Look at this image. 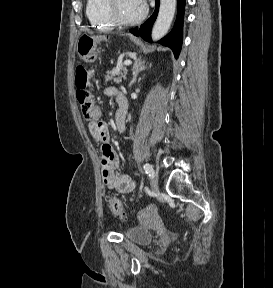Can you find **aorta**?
Wrapping results in <instances>:
<instances>
[{
    "label": "aorta",
    "mask_w": 273,
    "mask_h": 288,
    "mask_svg": "<svg viewBox=\"0 0 273 288\" xmlns=\"http://www.w3.org/2000/svg\"><path fill=\"white\" fill-rule=\"evenodd\" d=\"M177 0H160V7L157 19L152 29V39L157 41L164 37L171 26Z\"/></svg>",
    "instance_id": "1"
}]
</instances>
